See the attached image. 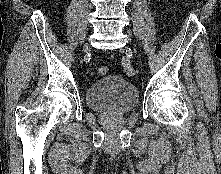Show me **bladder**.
Masks as SVG:
<instances>
[{"label": "bladder", "instance_id": "obj_1", "mask_svg": "<svg viewBox=\"0 0 221 174\" xmlns=\"http://www.w3.org/2000/svg\"><path fill=\"white\" fill-rule=\"evenodd\" d=\"M86 101L95 111L129 112L139 101L137 88L118 75H105L87 89Z\"/></svg>", "mask_w": 221, "mask_h": 174}]
</instances>
